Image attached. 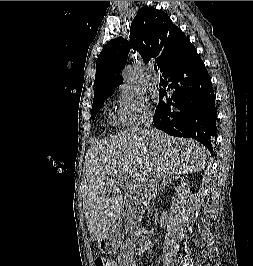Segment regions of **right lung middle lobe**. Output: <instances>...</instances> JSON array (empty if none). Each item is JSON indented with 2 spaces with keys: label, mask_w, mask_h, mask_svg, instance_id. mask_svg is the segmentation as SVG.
<instances>
[{
  "label": "right lung middle lobe",
  "mask_w": 253,
  "mask_h": 266,
  "mask_svg": "<svg viewBox=\"0 0 253 266\" xmlns=\"http://www.w3.org/2000/svg\"><path fill=\"white\" fill-rule=\"evenodd\" d=\"M111 93L104 94L100 96L99 98L93 100V106H92V111H91V117L92 120L94 121L96 114L99 112L103 102L110 96Z\"/></svg>",
  "instance_id": "obj_1"
}]
</instances>
